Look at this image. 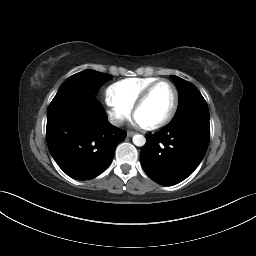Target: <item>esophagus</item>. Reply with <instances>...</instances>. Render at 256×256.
I'll return each instance as SVG.
<instances>
[{
	"label": "esophagus",
	"instance_id": "obj_1",
	"mask_svg": "<svg viewBox=\"0 0 256 256\" xmlns=\"http://www.w3.org/2000/svg\"><path fill=\"white\" fill-rule=\"evenodd\" d=\"M135 134V132H133V131H127V136L128 137H131V136H133Z\"/></svg>",
	"mask_w": 256,
	"mask_h": 256
}]
</instances>
